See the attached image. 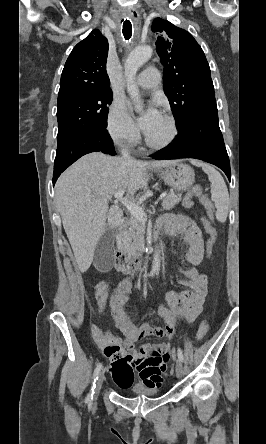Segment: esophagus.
<instances>
[{
    "label": "esophagus",
    "instance_id": "esophagus-1",
    "mask_svg": "<svg viewBox=\"0 0 266 444\" xmlns=\"http://www.w3.org/2000/svg\"><path fill=\"white\" fill-rule=\"evenodd\" d=\"M129 16H130L134 21H138V20H139V13H138V11H137L135 8H133V9L130 11Z\"/></svg>",
    "mask_w": 266,
    "mask_h": 444
}]
</instances>
